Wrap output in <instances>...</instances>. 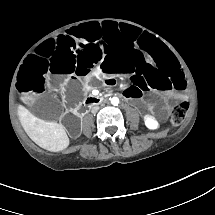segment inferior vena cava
Here are the masks:
<instances>
[{
	"mask_svg": "<svg viewBox=\"0 0 215 215\" xmlns=\"http://www.w3.org/2000/svg\"><path fill=\"white\" fill-rule=\"evenodd\" d=\"M99 109H100L99 106H93V107L91 108V112H92L93 114H95V113L98 112Z\"/></svg>",
	"mask_w": 215,
	"mask_h": 215,
	"instance_id": "602c4592",
	"label": "inferior vena cava"
}]
</instances>
